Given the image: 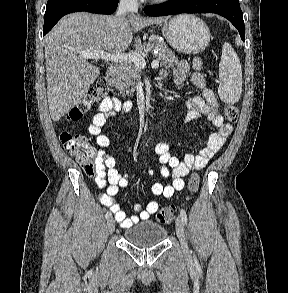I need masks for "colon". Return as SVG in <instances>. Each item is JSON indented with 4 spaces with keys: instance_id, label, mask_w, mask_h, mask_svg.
Listing matches in <instances>:
<instances>
[{
    "instance_id": "colon-1",
    "label": "colon",
    "mask_w": 288,
    "mask_h": 293,
    "mask_svg": "<svg viewBox=\"0 0 288 293\" xmlns=\"http://www.w3.org/2000/svg\"><path fill=\"white\" fill-rule=\"evenodd\" d=\"M111 96L112 91L107 83L104 80H99L86 97L69 111L67 119L70 121L81 119L93 105ZM224 115L228 121L235 122L238 118L239 110L234 105H227L224 109ZM60 140L65 150L75 158L84 173L87 176H93L96 170L95 160L97 153L86 136L79 133L63 132L60 135ZM199 185L200 177L198 174H192L187 184L189 194H195L199 189ZM177 210V207L174 205L165 206L158 211L157 220L163 224L170 223L174 219Z\"/></svg>"
}]
</instances>
